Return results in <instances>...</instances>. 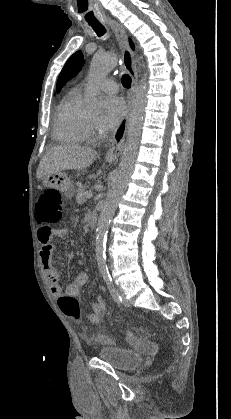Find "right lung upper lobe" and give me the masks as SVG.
<instances>
[{"label": "right lung upper lobe", "instance_id": "cb5924a9", "mask_svg": "<svg viewBox=\"0 0 231 419\" xmlns=\"http://www.w3.org/2000/svg\"><path fill=\"white\" fill-rule=\"evenodd\" d=\"M130 45H131L132 49H134V45L131 41H130Z\"/></svg>", "mask_w": 231, "mask_h": 419}]
</instances>
